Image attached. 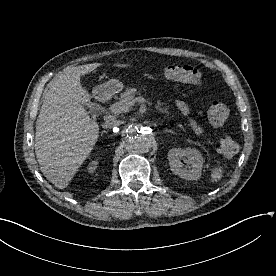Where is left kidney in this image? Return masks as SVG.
<instances>
[{"instance_id":"5707ae66","label":"left kidney","mask_w":276,"mask_h":276,"mask_svg":"<svg viewBox=\"0 0 276 276\" xmlns=\"http://www.w3.org/2000/svg\"><path fill=\"white\" fill-rule=\"evenodd\" d=\"M171 171L185 180H198L201 177L204 159L196 148H172L168 152ZM181 160L187 164L183 167Z\"/></svg>"}]
</instances>
